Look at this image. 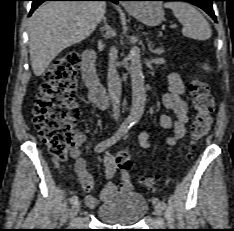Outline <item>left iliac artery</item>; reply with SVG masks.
Returning a JSON list of instances; mask_svg holds the SVG:
<instances>
[{
    "instance_id": "44dca946",
    "label": "left iliac artery",
    "mask_w": 234,
    "mask_h": 231,
    "mask_svg": "<svg viewBox=\"0 0 234 231\" xmlns=\"http://www.w3.org/2000/svg\"><path fill=\"white\" fill-rule=\"evenodd\" d=\"M160 206L162 207V209H164L166 207V203L164 201H159Z\"/></svg>"
}]
</instances>
